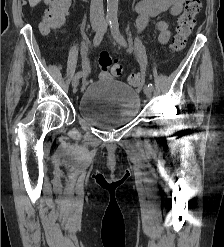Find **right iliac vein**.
<instances>
[{
	"instance_id": "63e3f726",
	"label": "right iliac vein",
	"mask_w": 224,
	"mask_h": 247,
	"mask_svg": "<svg viewBox=\"0 0 224 247\" xmlns=\"http://www.w3.org/2000/svg\"><path fill=\"white\" fill-rule=\"evenodd\" d=\"M100 28H101V27H100V24H94V25H93V30H94L95 32H98ZM79 80H80V77H79L78 75H75V76L73 77V79H72V87H73V88H76V87L78 86Z\"/></svg>"
}]
</instances>
